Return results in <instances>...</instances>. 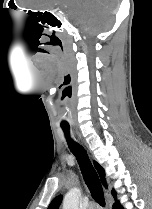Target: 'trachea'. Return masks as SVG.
I'll list each match as a JSON object with an SVG mask.
<instances>
[{
    "label": "trachea",
    "mask_w": 152,
    "mask_h": 209,
    "mask_svg": "<svg viewBox=\"0 0 152 209\" xmlns=\"http://www.w3.org/2000/svg\"><path fill=\"white\" fill-rule=\"evenodd\" d=\"M65 137L68 141L69 148L71 152L75 155L78 164L80 166L83 178L85 180L86 185L88 186L92 197L101 205L104 207L105 200H104V193L102 189L101 182L99 180V177L92 166L89 157L82 146H80L78 143L72 141L70 139L69 135V127L64 126L62 127Z\"/></svg>",
    "instance_id": "obj_1"
}]
</instances>
